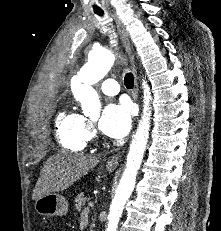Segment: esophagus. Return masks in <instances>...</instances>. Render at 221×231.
<instances>
[{
  "instance_id": "34e87169",
  "label": "esophagus",
  "mask_w": 221,
  "mask_h": 231,
  "mask_svg": "<svg viewBox=\"0 0 221 231\" xmlns=\"http://www.w3.org/2000/svg\"><path fill=\"white\" fill-rule=\"evenodd\" d=\"M114 19H115L116 26H117L118 32L120 34L121 40L125 46L126 52L128 53L130 61H131L132 71H133V75H134L133 97L136 100L138 98V92H139L138 78H137V71H136L135 62H134V55L132 52L131 43H130V39H129V34H128L122 20L120 18H118L116 15H114ZM119 160H120V155H115L111 159L108 160L107 165L110 167H116L119 163Z\"/></svg>"
}]
</instances>
